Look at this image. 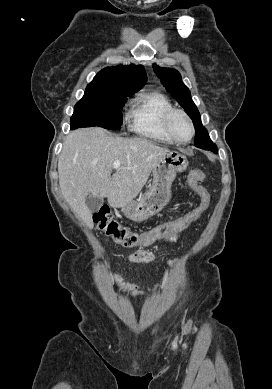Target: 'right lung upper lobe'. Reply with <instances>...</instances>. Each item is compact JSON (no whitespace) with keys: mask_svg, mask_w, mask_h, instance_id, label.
<instances>
[{"mask_svg":"<svg viewBox=\"0 0 272 389\" xmlns=\"http://www.w3.org/2000/svg\"><path fill=\"white\" fill-rule=\"evenodd\" d=\"M146 81L147 76L142 65H120L102 69L87 87L135 93Z\"/></svg>","mask_w":272,"mask_h":389,"instance_id":"right-lung-upper-lobe-1","label":"right lung upper lobe"}]
</instances>
